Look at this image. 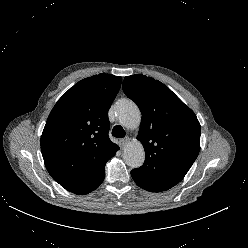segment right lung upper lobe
<instances>
[{"label":"right lung upper lobe","instance_id":"obj_1","mask_svg":"<svg viewBox=\"0 0 248 248\" xmlns=\"http://www.w3.org/2000/svg\"><path fill=\"white\" fill-rule=\"evenodd\" d=\"M121 77L99 74L71 87L55 104L41 136L49 174L66 190L84 195L104 180L105 164L119 149L108 136V110Z\"/></svg>","mask_w":248,"mask_h":248}]
</instances>
